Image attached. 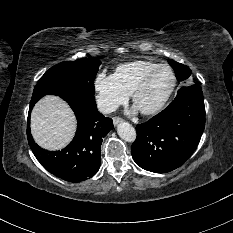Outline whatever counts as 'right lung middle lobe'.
I'll use <instances>...</instances> for the list:
<instances>
[{
	"label": "right lung middle lobe",
	"instance_id": "1",
	"mask_svg": "<svg viewBox=\"0 0 233 233\" xmlns=\"http://www.w3.org/2000/svg\"><path fill=\"white\" fill-rule=\"evenodd\" d=\"M101 61L95 57L64 62L51 67L38 81L32 100L46 94L94 99V79Z\"/></svg>",
	"mask_w": 233,
	"mask_h": 233
}]
</instances>
